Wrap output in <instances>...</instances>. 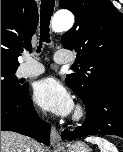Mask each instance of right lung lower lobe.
<instances>
[{
  "label": "right lung lower lobe",
  "mask_w": 123,
  "mask_h": 152,
  "mask_svg": "<svg viewBox=\"0 0 123 152\" xmlns=\"http://www.w3.org/2000/svg\"><path fill=\"white\" fill-rule=\"evenodd\" d=\"M15 131L50 144V125L40 121L28 93V85L19 91L1 93V131Z\"/></svg>",
  "instance_id": "right-lung-lower-lobe-1"
}]
</instances>
